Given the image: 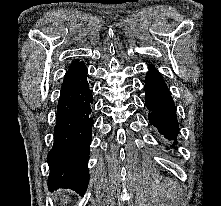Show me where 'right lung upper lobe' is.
Listing matches in <instances>:
<instances>
[{"label": "right lung upper lobe", "instance_id": "cb5924a9", "mask_svg": "<svg viewBox=\"0 0 221 206\" xmlns=\"http://www.w3.org/2000/svg\"><path fill=\"white\" fill-rule=\"evenodd\" d=\"M78 63H80L78 60H75L72 64H71V66L70 67H72V66H74V65H76V64H78Z\"/></svg>", "mask_w": 221, "mask_h": 206}]
</instances>
